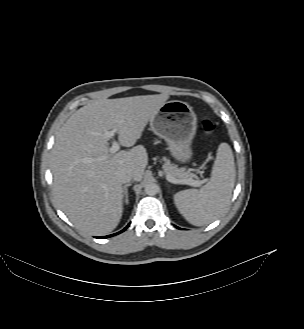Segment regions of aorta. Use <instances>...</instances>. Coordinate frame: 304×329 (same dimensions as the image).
I'll use <instances>...</instances> for the list:
<instances>
[{"label":"aorta","mask_w":304,"mask_h":329,"mask_svg":"<svg viewBox=\"0 0 304 329\" xmlns=\"http://www.w3.org/2000/svg\"><path fill=\"white\" fill-rule=\"evenodd\" d=\"M159 187L155 183H148L145 185L144 191L147 195L153 196L158 193Z\"/></svg>","instance_id":"1"}]
</instances>
